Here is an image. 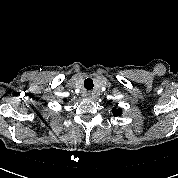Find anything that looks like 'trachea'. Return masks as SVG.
I'll use <instances>...</instances> for the list:
<instances>
[{"mask_svg": "<svg viewBox=\"0 0 178 178\" xmlns=\"http://www.w3.org/2000/svg\"><path fill=\"white\" fill-rule=\"evenodd\" d=\"M84 87L88 90H91L93 88V80L90 79V78H87L85 81H84Z\"/></svg>", "mask_w": 178, "mask_h": 178, "instance_id": "1", "label": "trachea"}]
</instances>
